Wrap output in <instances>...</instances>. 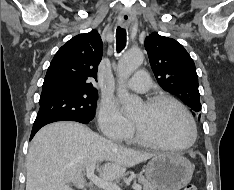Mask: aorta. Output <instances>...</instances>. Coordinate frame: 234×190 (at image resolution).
Wrapping results in <instances>:
<instances>
[{
  "label": "aorta",
  "instance_id": "1",
  "mask_svg": "<svg viewBox=\"0 0 234 190\" xmlns=\"http://www.w3.org/2000/svg\"><path fill=\"white\" fill-rule=\"evenodd\" d=\"M143 53L133 49L125 52L118 62V75L120 81L126 80L142 64ZM118 98L126 113L134 111L140 99L131 95L125 88L118 89Z\"/></svg>",
  "mask_w": 234,
  "mask_h": 190
}]
</instances>
